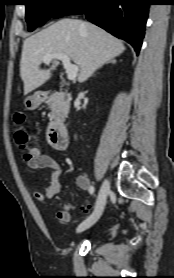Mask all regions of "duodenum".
Masks as SVG:
<instances>
[{"label": "duodenum", "mask_w": 174, "mask_h": 278, "mask_svg": "<svg viewBox=\"0 0 174 278\" xmlns=\"http://www.w3.org/2000/svg\"><path fill=\"white\" fill-rule=\"evenodd\" d=\"M47 93L43 92L40 94L39 98L44 100L47 97ZM48 141L49 143L57 149H65L68 145V131L63 123L55 122L51 124L48 129Z\"/></svg>", "instance_id": "obj_1"}]
</instances>
